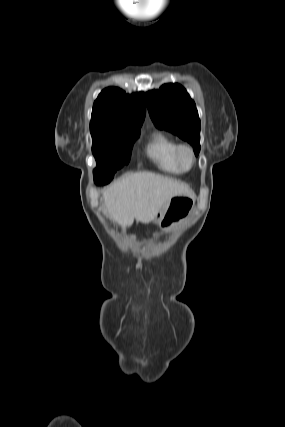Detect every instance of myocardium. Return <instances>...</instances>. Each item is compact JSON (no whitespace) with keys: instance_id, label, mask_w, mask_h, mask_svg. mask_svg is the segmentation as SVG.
I'll return each mask as SVG.
<instances>
[{"instance_id":"1","label":"myocardium","mask_w":285,"mask_h":427,"mask_svg":"<svg viewBox=\"0 0 285 427\" xmlns=\"http://www.w3.org/2000/svg\"><path fill=\"white\" fill-rule=\"evenodd\" d=\"M183 153H188L190 156L191 163L189 167H185L182 163ZM175 162L182 172H189L192 170L196 163V156L193 148L188 144H179L175 151Z\"/></svg>"}]
</instances>
